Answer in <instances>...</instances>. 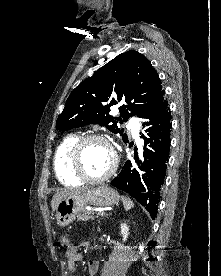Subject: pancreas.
<instances>
[{
  "instance_id": "cf45deb5",
  "label": "pancreas",
  "mask_w": 221,
  "mask_h": 276,
  "mask_svg": "<svg viewBox=\"0 0 221 276\" xmlns=\"http://www.w3.org/2000/svg\"><path fill=\"white\" fill-rule=\"evenodd\" d=\"M90 219H94V216L90 211H84L81 215L78 216V220L81 221H88Z\"/></svg>"
}]
</instances>
